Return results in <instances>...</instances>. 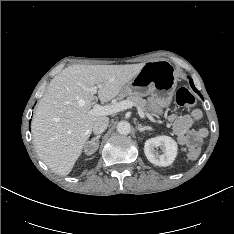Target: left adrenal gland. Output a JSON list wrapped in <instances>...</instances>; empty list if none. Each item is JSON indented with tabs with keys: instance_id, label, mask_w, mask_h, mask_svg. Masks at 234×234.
Masks as SVG:
<instances>
[{
	"instance_id": "obj_1",
	"label": "left adrenal gland",
	"mask_w": 234,
	"mask_h": 234,
	"mask_svg": "<svg viewBox=\"0 0 234 234\" xmlns=\"http://www.w3.org/2000/svg\"><path fill=\"white\" fill-rule=\"evenodd\" d=\"M138 130H139V132H143V131H145V130H152V128L150 127V126H142V125H138Z\"/></svg>"
}]
</instances>
